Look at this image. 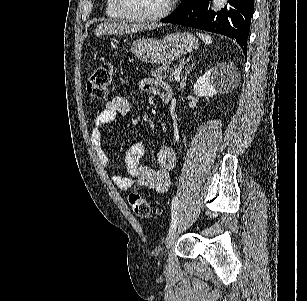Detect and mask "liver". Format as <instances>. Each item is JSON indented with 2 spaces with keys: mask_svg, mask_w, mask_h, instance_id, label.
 <instances>
[{
  "mask_svg": "<svg viewBox=\"0 0 307 301\" xmlns=\"http://www.w3.org/2000/svg\"><path fill=\"white\" fill-rule=\"evenodd\" d=\"M160 24H131V22H120V20H105L100 22L95 28L96 36H102V34H132V32H139V30H151V28H159Z\"/></svg>",
  "mask_w": 307,
  "mask_h": 301,
  "instance_id": "6515ba94",
  "label": "liver"
}]
</instances>
